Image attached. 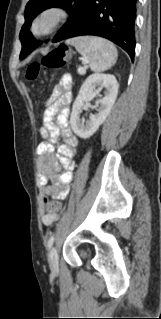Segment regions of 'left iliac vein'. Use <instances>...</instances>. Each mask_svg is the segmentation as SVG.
Listing matches in <instances>:
<instances>
[{"label":"left iliac vein","instance_id":"4c4485c4","mask_svg":"<svg viewBox=\"0 0 161 319\" xmlns=\"http://www.w3.org/2000/svg\"><path fill=\"white\" fill-rule=\"evenodd\" d=\"M49 266L52 272L56 273L59 269L58 254L55 247H52L48 253Z\"/></svg>","mask_w":161,"mask_h":319}]
</instances>
